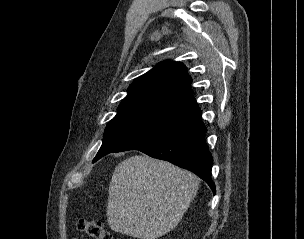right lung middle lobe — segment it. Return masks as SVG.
Masks as SVG:
<instances>
[{"label":"right lung middle lobe","mask_w":304,"mask_h":239,"mask_svg":"<svg viewBox=\"0 0 304 239\" xmlns=\"http://www.w3.org/2000/svg\"><path fill=\"white\" fill-rule=\"evenodd\" d=\"M167 121L164 117L146 112H118L106 127L103 144L93 162Z\"/></svg>","instance_id":"obj_1"}]
</instances>
